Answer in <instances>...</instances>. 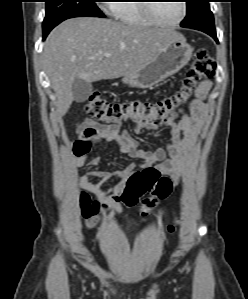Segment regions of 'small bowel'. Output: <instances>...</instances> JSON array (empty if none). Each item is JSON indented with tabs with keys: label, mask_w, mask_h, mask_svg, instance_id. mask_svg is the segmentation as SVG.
Instances as JSON below:
<instances>
[{
	"label": "small bowel",
	"mask_w": 248,
	"mask_h": 299,
	"mask_svg": "<svg viewBox=\"0 0 248 299\" xmlns=\"http://www.w3.org/2000/svg\"><path fill=\"white\" fill-rule=\"evenodd\" d=\"M209 89L210 82H202L197 91L199 98L194 100L190 111L184 114L178 122L167 120L164 123L170 130L169 140L165 148H159L156 151L139 148L136 140L129 134L127 129L122 128L121 123L101 126L91 119L84 120L77 127L78 139L73 147L74 165L83 167L87 164L88 150L92 144L108 142L115 144L122 153L153 165L161 175L169 177L176 185L183 173L182 159L195 143L200 122L203 118L204 105L201 97ZM131 126L135 132L142 129L154 131L157 128L154 124L137 120L131 121ZM98 163V159L90 161L87 164L89 167L88 173L79 177L83 189L96 198L91 206L92 215L85 217L87 228L96 227L104 216L113 212L117 214L122 212L124 204L119 194L125 182L121 181L108 189H105L102 184L116 179L124 180L133 169V166H128L110 172L98 169ZM90 176L99 178L101 182L92 183L89 180Z\"/></svg>",
	"instance_id": "1"
}]
</instances>
